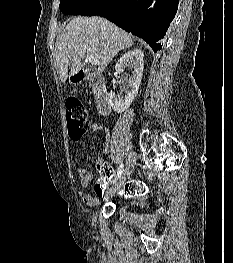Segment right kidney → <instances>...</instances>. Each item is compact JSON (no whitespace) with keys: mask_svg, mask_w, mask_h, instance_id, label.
Returning a JSON list of instances; mask_svg holds the SVG:
<instances>
[{"mask_svg":"<svg viewBox=\"0 0 233 263\" xmlns=\"http://www.w3.org/2000/svg\"><path fill=\"white\" fill-rule=\"evenodd\" d=\"M143 57L144 54L140 49H134L126 52L115 65L116 72H122L126 67L133 69L132 75L128 77L129 89L127 95L122 97L116 95L114 92L108 94L109 103L117 113H122L128 109L138 94L144 69ZM112 83L115 84L114 79Z\"/></svg>","mask_w":233,"mask_h":263,"instance_id":"ca27d5eb","label":"right kidney"}]
</instances>
